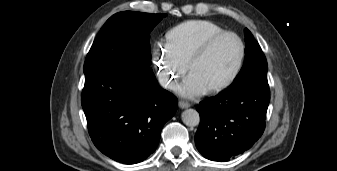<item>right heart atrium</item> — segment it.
<instances>
[{
  "label": "right heart atrium",
  "instance_id": "d8ad5b80",
  "mask_svg": "<svg viewBox=\"0 0 337 171\" xmlns=\"http://www.w3.org/2000/svg\"><path fill=\"white\" fill-rule=\"evenodd\" d=\"M152 58L160 82L165 87H173L185 74L187 65L182 62L165 44L158 43L152 51Z\"/></svg>",
  "mask_w": 337,
  "mask_h": 171
}]
</instances>
